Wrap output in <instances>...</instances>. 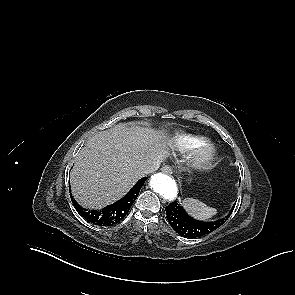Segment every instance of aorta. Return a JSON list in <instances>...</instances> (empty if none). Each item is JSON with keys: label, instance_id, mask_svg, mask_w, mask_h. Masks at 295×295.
I'll return each instance as SVG.
<instances>
[{"label": "aorta", "instance_id": "aorta-1", "mask_svg": "<svg viewBox=\"0 0 295 295\" xmlns=\"http://www.w3.org/2000/svg\"><path fill=\"white\" fill-rule=\"evenodd\" d=\"M150 187L154 192L168 200H174L178 195L176 181L164 173L154 174L150 179Z\"/></svg>", "mask_w": 295, "mask_h": 295}]
</instances>
